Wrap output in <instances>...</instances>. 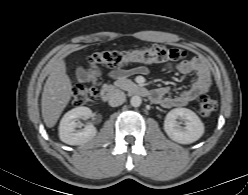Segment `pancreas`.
<instances>
[{"mask_svg": "<svg viewBox=\"0 0 248 195\" xmlns=\"http://www.w3.org/2000/svg\"><path fill=\"white\" fill-rule=\"evenodd\" d=\"M118 84L121 88L126 89L129 85H133V82L128 79H121L118 81Z\"/></svg>", "mask_w": 248, "mask_h": 195, "instance_id": "pancreas-1", "label": "pancreas"}]
</instances>
